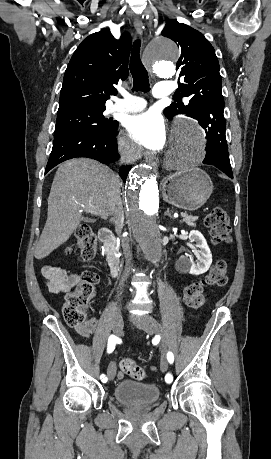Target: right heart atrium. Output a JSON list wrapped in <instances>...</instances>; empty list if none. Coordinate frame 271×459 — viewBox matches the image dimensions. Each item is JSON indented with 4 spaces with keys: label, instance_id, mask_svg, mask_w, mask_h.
Instances as JSON below:
<instances>
[{
    "label": "right heart atrium",
    "instance_id": "1",
    "mask_svg": "<svg viewBox=\"0 0 271 459\" xmlns=\"http://www.w3.org/2000/svg\"><path fill=\"white\" fill-rule=\"evenodd\" d=\"M118 147L121 153L131 161L136 160L140 156L139 148L130 140L128 135L121 132L118 136Z\"/></svg>",
    "mask_w": 271,
    "mask_h": 459
}]
</instances>
